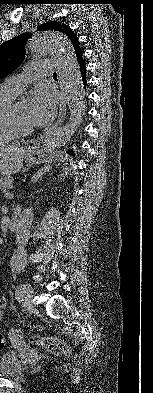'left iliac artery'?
Returning a JSON list of instances; mask_svg holds the SVG:
<instances>
[{"mask_svg":"<svg viewBox=\"0 0 153 393\" xmlns=\"http://www.w3.org/2000/svg\"><path fill=\"white\" fill-rule=\"evenodd\" d=\"M29 288L28 285L21 284L17 287L16 289V298L20 300L21 298H24V294L26 293V290Z\"/></svg>","mask_w":153,"mask_h":393,"instance_id":"left-iliac-artery-1","label":"left iliac artery"}]
</instances>
